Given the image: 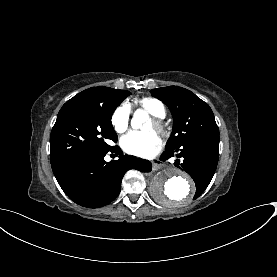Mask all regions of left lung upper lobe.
Masks as SVG:
<instances>
[{
  "label": "left lung upper lobe",
  "instance_id": "obj_1",
  "mask_svg": "<svg viewBox=\"0 0 277 277\" xmlns=\"http://www.w3.org/2000/svg\"><path fill=\"white\" fill-rule=\"evenodd\" d=\"M151 93L163 101L173 115V132L166 146L167 151L179 148L194 138L219 135L211 108L193 92L178 86H168L153 89Z\"/></svg>",
  "mask_w": 277,
  "mask_h": 277
}]
</instances>
